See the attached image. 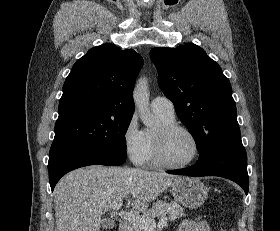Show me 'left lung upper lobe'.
Returning <instances> with one entry per match:
<instances>
[{
    "mask_svg": "<svg viewBox=\"0 0 280 231\" xmlns=\"http://www.w3.org/2000/svg\"><path fill=\"white\" fill-rule=\"evenodd\" d=\"M150 58L160 88L192 134L200 157L222 143L241 139L230 82L202 48L193 43L154 48Z\"/></svg>",
    "mask_w": 280,
    "mask_h": 231,
    "instance_id": "left-lung-upper-lobe-1",
    "label": "left lung upper lobe"
}]
</instances>
